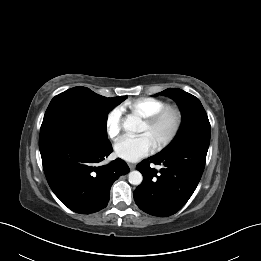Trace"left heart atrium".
I'll use <instances>...</instances> for the list:
<instances>
[{"label": "left heart atrium", "mask_w": 261, "mask_h": 261, "mask_svg": "<svg viewBox=\"0 0 261 261\" xmlns=\"http://www.w3.org/2000/svg\"><path fill=\"white\" fill-rule=\"evenodd\" d=\"M154 148L146 134H125L115 142L114 149L118 157L134 162L148 155Z\"/></svg>", "instance_id": "obj_1"}]
</instances>
